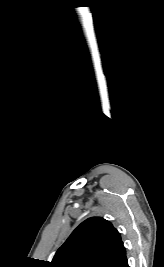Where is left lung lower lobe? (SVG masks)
Wrapping results in <instances>:
<instances>
[{
    "instance_id": "left-lung-lower-lobe-1",
    "label": "left lung lower lobe",
    "mask_w": 164,
    "mask_h": 267,
    "mask_svg": "<svg viewBox=\"0 0 164 267\" xmlns=\"http://www.w3.org/2000/svg\"><path fill=\"white\" fill-rule=\"evenodd\" d=\"M105 267H129L126 258V251L123 244L107 262Z\"/></svg>"
}]
</instances>
